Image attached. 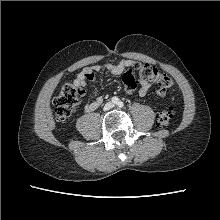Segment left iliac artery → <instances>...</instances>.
Listing matches in <instances>:
<instances>
[{"instance_id": "left-iliac-artery-1", "label": "left iliac artery", "mask_w": 220, "mask_h": 220, "mask_svg": "<svg viewBox=\"0 0 220 220\" xmlns=\"http://www.w3.org/2000/svg\"><path fill=\"white\" fill-rule=\"evenodd\" d=\"M124 106V103L122 101L118 102V107L122 108Z\"/></svg>"}]
</instances>
